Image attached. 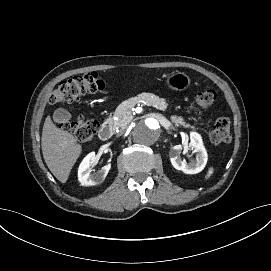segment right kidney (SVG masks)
Returning a JSON list of instances; mask_svg holds the SVG:
<instances>
[{"mask_svg": "<svg viewBox=\"0 0 271 271\" xmlns=\"http://www.w3.org/2000/svg\"><path fill=\"white\" fill-rule=\"evenodd\" d=\"M96 161L95 152L89 153L81 162L78 168V180L83 186H93L102 183L110 168L111 165H105L100 170L95 173H91V164Z\"/></svg>", "mask_w": 271, "mask_h": 271, "instance_id": "obj_1", "label": "right kidney"}]
</instances>
